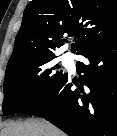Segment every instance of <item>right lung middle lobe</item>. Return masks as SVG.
<instances>
[{
	"label": "right lung middle lobe",
	"instance_id": "obj_1",
	"mask_svg": "<svg viewBox=\"0 0 117 136\" xmlns=\"http://www.w3.org/2000/svg\"><path fill=\"white\" fill-rule=\"evenodd\" d=\"M55 56H31L6 67L3 115L17 113L33 99L47 94L68 75L54 63Z\"/></svg>",
	"mask_w": 117,
	"mask_h": 136
}]
</instances>
